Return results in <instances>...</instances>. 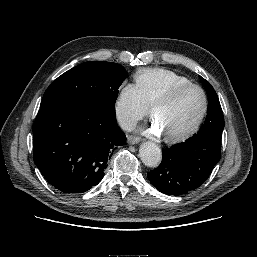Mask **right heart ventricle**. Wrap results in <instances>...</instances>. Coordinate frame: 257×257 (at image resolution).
I'll use <instances>...</instances> for the list:
<instances>
[{"label": "right heart ventricle", "mask_w": 257, "mask_h": 257, "mask_svg": "<svg viewBox=\"0 0 257 257\" xmlns=\"http://www.w3.org/2000/svg\"><path fill=\"white\" fill-rule=\"evenodd\" d=\"M134 79L149 106L170 89L191 83L185 76L164 68L140 69L134 74Z\"/></svg>", "instance_id": "obj_1"}]
</instances>
